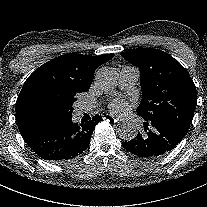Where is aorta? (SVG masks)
<instances>
[{
  "label": "aorta",
  "instance_id": "obj_1",
  "mask_svg": "<svg viewBox=\"0 0 207 207\" xmlns=\"http://www.w3.org/2000/svg\"><path fill=\"white\" fill-rule=\"evenodd\" d=\"M96 82L105 91H112L118 85V74L113 68L101 67L96 73ZM118 135L124 141H131L137 136V128L133 123H122Z\"/></svg>",
  "mask_w": 207,
  "mask_h": 207
}]
</instances>
